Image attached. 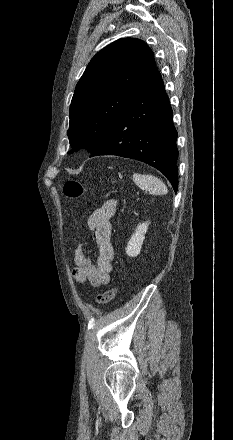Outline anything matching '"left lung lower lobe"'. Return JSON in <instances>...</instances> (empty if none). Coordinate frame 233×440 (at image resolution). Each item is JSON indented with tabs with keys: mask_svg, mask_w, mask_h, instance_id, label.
I'll use <instances>...</instances> for the list:
<instances>
[{
	"mask_svg": "<svg viewBox=\"0 0 233 440\" xmlns=\"http://www.w3.org/2000/svg\"><path fill=\"white\" fill-rule=\"evenodd\" d=\"M172 109L156 68L114 122L105 140L91 153L143 161L161 171L178 189L177 131Z\"/></svg>",
	"mask_w": 233,
	"mask_h": 440,
	"instance_id": "0a47b994",
	"label": "left lung lower lobe"
}]
</instances>
